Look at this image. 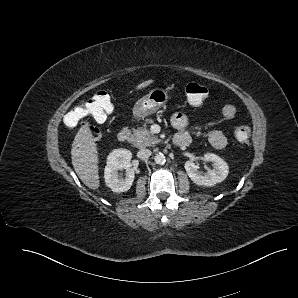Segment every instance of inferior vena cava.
Masks as SVG:
<instances>
[{
  "instance_id": "obj_1",
  "label": "inferior vena cava",
  "mask_w": 298,
  "mask_h": 298,
  "mask_svg": "<svg viewBox=\"0 0 298 298\" xmlns=\"http://www.w3.org/2000/svg\"><path fill=\"white\" fill-rule=\"evenodd\" d=\"M151 154H152V152L149 149H140L137 152V157L139 159L145 160V159H148L151 156Z\"/></svg>"
}]
</instances>
